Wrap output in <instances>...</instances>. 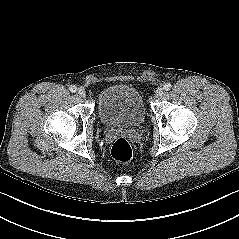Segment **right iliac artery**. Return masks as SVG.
Listing matches in <instances>:
<instances>
[{
	"instance_id": "obj_1",
	"label": "right iliac artery",
	"mask_w": 239,
	"mask_h": 239,
	"mask_svg": "<svg viewBox=\"0 0 239 239\" xmlns=\"http://www.w3.org/2000/svg\"><path fill=\"white\" fill-rule=\"evenodd\" d=\"M69 90L71 91V92H76L77 91V87L75 86V85H72L70 88H69Z\"/></svg>"
}]
</instances>
